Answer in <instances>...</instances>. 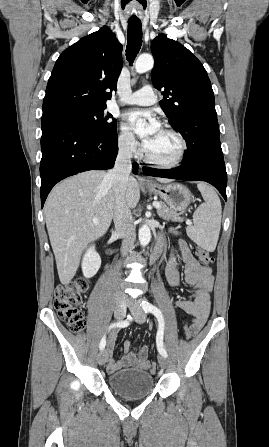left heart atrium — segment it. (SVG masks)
<instances>
[{"mask_svg":"<svg viewBox=\"0 0 269 447\" xmlns=\"http://www.w3.org/2000/svg\"><path fill=\"white\" fill-rule=\"evenodd\" d=\"M143 118H146L148 122L146 127L141 129L139 123ZM124 128L138 134L144 141H147L160 128V122L147 113L130 111L124 117Z\"/></svg>","mask_w":269,"mask_h":447,"instance_id":"left-heart-atrium-1","label":"left heart atrium"}]
</instances>
